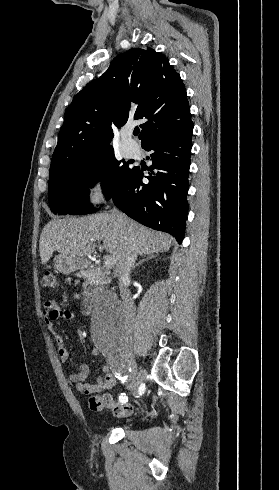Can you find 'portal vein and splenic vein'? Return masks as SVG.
Listing matches in <instances>:
<instances>
[{"label":"portal vein and splenic vein","instance_id":"1","mask_svg":"<svg viewBox=\"0 0 279 490\" xmlns=\"http://www.w3.org/2000/svg\"><path fill=\"white\" fill-rule=\"evenodd\" d=\"M115 264L114 258H105L104 260V268H114Z\"/></svg>","mask_w":279,"mask_h":490}]
</instances>
